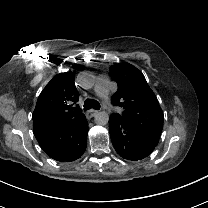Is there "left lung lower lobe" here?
<instances>
[{
	"label": "left lung lower lobe",
	"instance_id": "0a47b994",
	"mask_svg": "<svg viewBox=\"0 0 208 208\" xmlns=\"http://www.w3.org/2000/svg\"><path fill=\"white\" fill-rule=\"evenodd\" d=\"M109 131L116 152L126 160H142L149 156L156 147L116 114H112L109 118Z\"/></svg>",
	"mask_w": 208,
	"mask_h": 208
}]
</instances>
